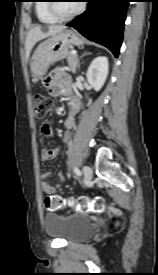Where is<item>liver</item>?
<instances>
[{
    "instance_id": "obj_1",
    "label": "liver",
    "mask_w": 158,
    "mask_h": 275,
    "mask_svg": "<svg viewBox=\"0 0 158 275\" xmlns=\"http://www.w3.org/2000/svg\"><path fill=\"white\" fill-rule=\"evenodd\" d=\"M64 30H65V26H61V25H51L48 27L36 26V27L32 28L28 32L27 38H26V56H27V58L29 57L31 50L35 46L36 43H38L39 41H41L47 37L56 35Z\"/></svg>"
}]
</instances>
